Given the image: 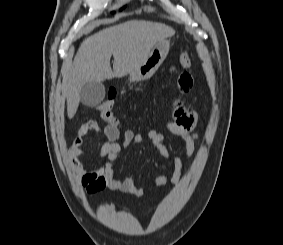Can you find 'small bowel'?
<instances>
[{"label":"small bowel","mask_w":283,"mask_h":245,"mask_svg":"<svg viewBox=\"0 0 283 245\" xmlns=\"http://www.w3.org/2000/svg\"><path fill=\"white\" fill-rule=\"evenodd\" d=\"M178 88L182 93L188 92L193 87L192 75L188 72L180 74L177 82ZM199 122V115L196 112L186 111L179 103L173 112V117L167 122L168 130L177 135L185 145V152L188 158L192 157L198 134L195 129ZM98 123L90 120L84 123L78 132L73 144L69 148V158L73 170L75 171L80 183L86 188L89 194H99L105 189L131 193L135 196H142L144 189L137 187L132 175L117 179L114 177V161L119 153L131 144L143 142V135L132 129H127L121 135L118 125L107 123L102 131L106 138L101 147V158L106 160L105 164L97 170H87L81 160L82 145L84 137L91 131H98ZM148 146L155 148L164 158H170L171 154L164 144V135L152 129L148 132ZM173 172L170 178L166 175H158L154 178L156 186H165L170 183L177 185L184 176L183 164L180 157H173Z\"/></svg>","instance_id":"1"}]
</instances>
